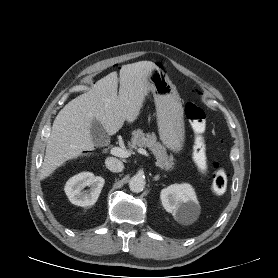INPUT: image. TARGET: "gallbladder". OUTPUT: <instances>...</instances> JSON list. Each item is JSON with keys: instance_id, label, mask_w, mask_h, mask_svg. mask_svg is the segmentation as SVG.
<instances>
[{"instance_id": "obj_1", "label": "gallbladder", "mask_w": 278, "mask_h": 278, "mask_svg": "<svg viewBox=\"0 0 278 278\" xmlns=\"http://www.w3.org/2000/svg\"><path fill=\"white\" fill-rule=\"evenodd\" d=\"M91 135L96 146H105L109 143V135L103 128L102 124L96 119H93L92 121Z\"/></svg>"}]
</instances>
